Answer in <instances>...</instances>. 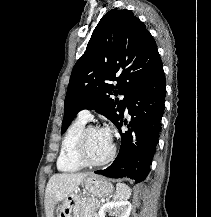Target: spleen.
<instances>
[{"label":"spleen","mask_w":211,"mask_h":217,"mask_svg":"<svg viewBox=\"0 0 211 217\" xmlns=\"http://www.w3.org/2000/svg\"><path fill=\"white\" fill-rule=\"evenodd\" d=\"M131 196V189L123 183H117L116 193L114 195L115 200H127Z\"/></svg>","instance_id":"1"}]
</instances>
